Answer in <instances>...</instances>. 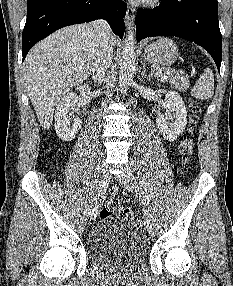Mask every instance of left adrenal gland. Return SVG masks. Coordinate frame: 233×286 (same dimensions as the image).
Here are the masks:
<instances>
[{"label": "left adrenal gland", "mask_w": 233, "mask_h": 286, "mask_svg": "<svg viewBox=\"0 0 233 286\" xmlns=\"http://www.w3.org/2000/svg\"><path fill=\"white\" fill-rule=\"evenodd\" d=\"M151 78H152V73L149 74V75H147V73H146V67H145V65H143V67H142V73H141V79H142V80L147 79L148 81H150Z\"/></svg>", "instance_id": "1"}]
</instances>
